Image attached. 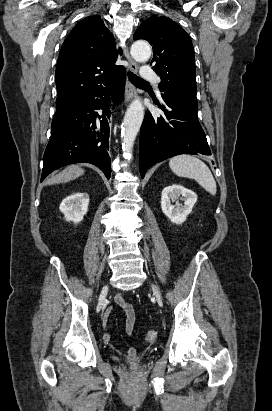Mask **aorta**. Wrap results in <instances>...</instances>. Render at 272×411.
<instances>
[{"instance_id":"762f6f07","label":"aorta","mask_w":272,"mask_h":411,"mask_svg":"<svg viewBox=\"0 0 272 411\" xmlns=\"http://www.w3.org/2000/svg\"><path fill=\"white\" fill-rule=\"evenodd\" d=\"M132 57L139 62L147 61L151 56L150 45L136 41L131 47ZM144 118V106L139 98L133 100L126 111L122 123V149L125 158L132 156L133 145Z\"/></svg>"}]
</instances>
